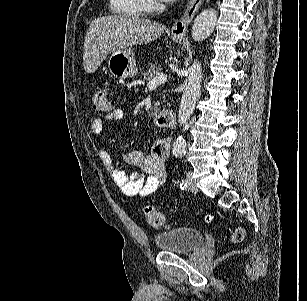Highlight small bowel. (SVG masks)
I'll use <instances>...</instances> for the list:
<instances>
[{
	"instance_id": "obj_1",
	"label": "small bowel",
	"mask_w": 307,
	"mask_h": 301,
	"mask_svg": "<svg viewBox=\"0 0 307 301\" xmlns=\"http://www.w3.org/2000/svg\"><path fill=\"white\" fill-rule=\"evenodd\" d=\"M122 117L123 111L119 108H114L108 113L106 120L117 121ZM103 127L104 120L100 118L94 119L90 126V138L97 139L101 135ZM98 155L112 176L114 183L124 195L146 197L161 188L165 182V162L169 155V141L167 139L158 140L154 144L150 155H146L141 151H131L125 154V161L129 165L139 168L145 175L121 170L104 149H100Z\"/></svg>"
}]
</instances>
